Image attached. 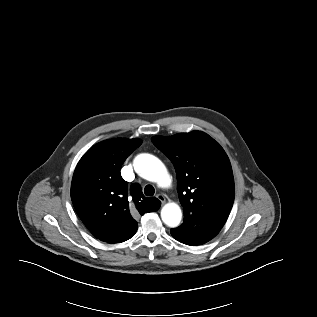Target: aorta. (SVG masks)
<instances>
[{
	"label": "aorta",
	"instance_id": "aorta-1",
	"mask_svg": "<svg viewBox=\"0 0 317 317\" xmlns=\"http://www.w3.org/2000/svg\"><path fill=\"white\" fill-rule=\"evenodd\" d=\"M134 167L139 175L149 181L160 182L169 179L164 164L152 154L138 155L134 160ZM181 218L182 212L176 203H168L161 209V219L169 227H177Z\"/></svg>",
	"mask_w": 317,
	"mask_h": 317
}]
</instances>
